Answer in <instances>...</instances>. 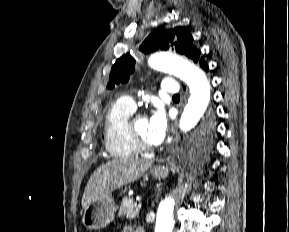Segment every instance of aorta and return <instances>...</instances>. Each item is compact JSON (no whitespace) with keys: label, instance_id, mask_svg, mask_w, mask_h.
Returning <instances> with one entry per match:
<instances>
[{"label":"aorta","instance_id":"1","mask_svg":"<svg viewBox=\"0 0 289 232\" xmlns=\"http://www.w3.org/2000/svg\"><path fill=\"white\" fill-rule=\"evenodd\" d=\"M148 63L151 68L171 73L183 80L190 90V98L179 122L182 131L194 128L204 116L210 102L211 86L205 73L194 64L169 55L153 54ZM174 200L168 197L159 204L155 223V232H172L174 228Z\"/></svg>","mask_w":289,"mask_h":232}]
</instances>
